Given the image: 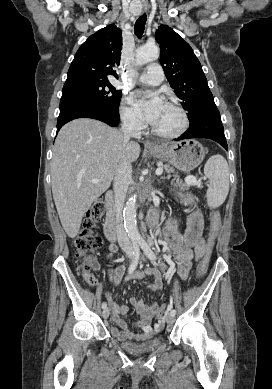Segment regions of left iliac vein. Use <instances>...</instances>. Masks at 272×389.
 Here are the masks:
<instances>
[{"mask_svg":"<svg viewBox=\"0 0 272 389\" xmlns=\"http://www.w3.org/2000/svg\"><path fill=\"white\" fill-rule=\"evenodd\" d=\"M174 321H175V318H174L173 315H171V314L167 315V317H166V322H167L168 324H172Z\"/></svg>","mask_w":272,"mask_h":389,"instance_id":"1","label":"left iliac vein"}]
</instances>
